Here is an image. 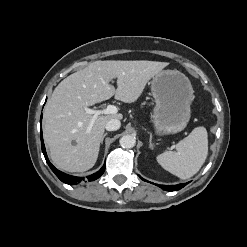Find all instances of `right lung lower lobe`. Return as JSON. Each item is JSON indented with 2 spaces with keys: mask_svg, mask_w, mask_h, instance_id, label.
I'll return each mask as SVG.
<instances>
[{
  "mask_svg": "<svg viewBox=\"0 0 247 247\" xmlns=\"http://www.w3.org/2000/svg\"><path fill=\"white\" fill-rule=\"evenodd\" d=\"M42 119V116H41ZM41 123V120H40ZM41 146H42V152L44 154V157L46 159V162L48 163L49 167L51 168V170L55 173V175L64 183L66 184H75V183H79L82 178L81 177H75V176H70L68 174H65L59 170H57L48 160L47 154H46V150H45V145L43 142V136H42V130H41ZM105 171V165L96 173L90 175L87 177L88 181H94L96 179H98Z\"/></svg>",
  "mask_w": 247,
  "mask_h": 247,
  "instance_id": "obj_1",
  "label": "right lung lower lobe"
}]
</instances>
